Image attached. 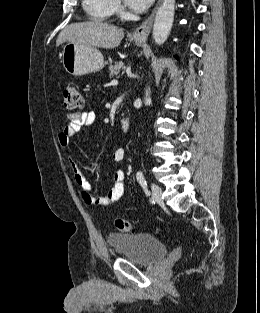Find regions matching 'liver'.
<instances>
[{
  "instance_id": "obj_1",
  "label": "liver",
  "mask_w": 260,
  "mask_h": 313,
  "mask_svg": "<svg viewBox=\"0 0 260 313\" xmlns=\"http://www.w3.org/2000/svg\"><path fill=\"white\" fill-rule=\"evenodd\" d=\"M124 30L101 21H85L68 25L61 31L56 40V46L64 42L114 49L122 41Z\"/></svg>"
}]
</instances>
